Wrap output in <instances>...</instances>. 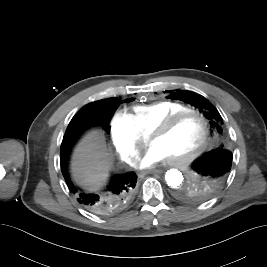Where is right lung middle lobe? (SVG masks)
Returning a JSON list of instances; mask_svg holds the SVG:
<instances>
[{
	"instance_id": "dd1d6c3e",
	"label": "right lung middle lobe",
	"mask_w": 267,
	"mask_h": 267,
	"mask_svg": "<svg viewBox=\"0 0 267 267\" xmlns=\"http://www.w3.org/2000/svg\"><path fill=\"white\" fill-rule=\"evenodd\" d=\"M95 104V103H92ZM98 105H103L106 108L107 112H112L115 111L117 109V102H116V98H109V99H105L100 101V104Z\"/></svg>"
}]
</instances>
